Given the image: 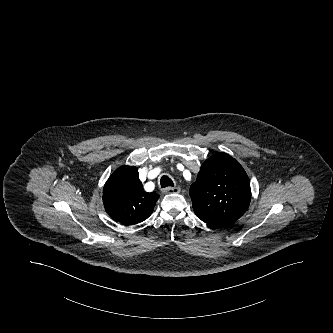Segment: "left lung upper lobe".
<instances>
[{
    "label": "left lung upper lobe",
    "mask_w": 333,
    "mask_h": 333,
    "mask_svg": "<svg viewBox=\"0 0 333 333\" xmlns=\"http://www.w3.org/2000/svg\"><path fill=\"white\" fill-rule=\"evenodd\" d=\"M192 206L203 222L222 227L235 222L248 209L250 180L242 166L226 153L209 157L190 188Z\"/></svg>",
    "instance_id": "5c2ea615"
}]
</instances>
